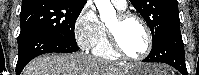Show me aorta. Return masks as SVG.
<instances>
[{"instance_id":"obj_1","label":"aorta","mask_w":199,"mask_h":75,"mask_svg":"<svg viewBox=\"0 0 199 75\" xmlns=\"http://www.w3.org/2000/svg\"><path fill=\"white\" fill-rule=\"evenodd\" d=\"M95 5L100 13V19L107 22L116 18V11L110 0H94Z\"/></svg>"}]
</instances>
